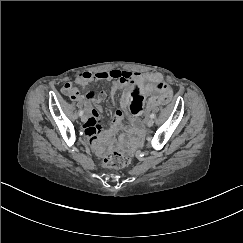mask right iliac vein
<instances>
[{"label":"right iliac vein","instance_id":"obj_1","mask_svg":"<svg viewBox=\"0 0 243 243\" xmlns=\"http://www.w3.org/2000/svg\"><path fill=\"white\" fill-rule=\"evenodd\" d=\"M86 120H87V117H86L85 115H83V116L81 117V121H82V122H86Z\"/></svg>","mask_w":243,"mask_h":243}]
</instances>
